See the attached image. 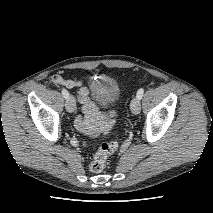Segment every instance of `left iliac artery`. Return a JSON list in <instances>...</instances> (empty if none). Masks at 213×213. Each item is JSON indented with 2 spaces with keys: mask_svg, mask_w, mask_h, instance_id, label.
<instances>
[{
  "mask_svg": "<svg viewBox=\"0 0 213 213\" xmlns=\"http://www.w3.org/2000/svg\"><path fill=\"white\" fill-rule=\"evenodd\" d=\"M143 94H144V89L143 88H140L137 92V97L139 99H141L143 97Z\"/></svg>",
  "mask_w": 213,
  "mask_h": 213,
  "instance_id": "44dca946",
  "label": "left iliac artery"
}]
</instances>
